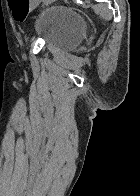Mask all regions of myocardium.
<instances>
[{"mask_svg": "<svg viewBox=\"0 0 140 196\" xmlns=\"http://www.w3.org/2000/svg\"><path fill=\"white\" fill-rule=\"evenodd\" d=\"M34 192H67V191H34Z\"/></svg>", "mask_w": 140, "mask_h": 196, "instance_id": "f54148a6", "label": "myocardium"}]
</instances>
